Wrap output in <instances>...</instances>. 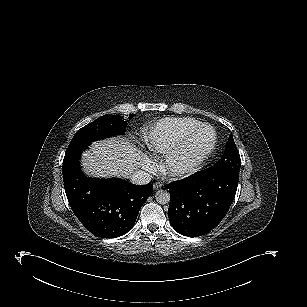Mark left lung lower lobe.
I'll use <instances>...</instances> for the list:
<instances>
[{
	"label": "left lung lower lobe",
	"instance_id": "1",
	"mask_svg": "<svg viewBox=\"0 0 307 307\" xmlns=\"http://www.w3.org/2000/svg\"><path fill=\"white\" fill-rule=\"evenodd\" d=\"M239 174L209 168L169 183L168 217L180 234L197 237L209 233L228 212L237 190Z\"/></svg>",
	"mask_w": 307,
	"mask_h": 307
}]
</instances>
